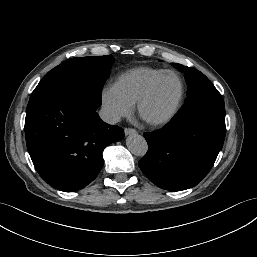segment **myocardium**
Wrapping results in <instances>:
<instances>
[{
	"label": "myocardium",
	"mask_w": 257,
	"mask_h": 257,
	"mask_svg": "<svg viewBox=\"0 0 257 257\" xmlns=\"http://www.w3.org/2000/svg\"><path fill=\"white\" fill-rule=\"evenodd\" d=\"M166 75H173L178 79V81L180 83V93H179L178 99H177L173 109L165 117H163L161 119H157V120L146 119L143 116V107H144L145 103L148 101V99L151 97L157 83ZM185 92H186V88H185L184 80L177 72H175L173 70L163 71L161 74L157 75L155 78H153L150 81V83L147 85L146 89L144 90V92L142 93L140 98L138 99L137 112H138L139 117L149 126H152V127L166 126L167 124L172 122L175 119V117L178 115V113L180 112L183 102H184Z\"/></svg>",
	"instance_id": "myocardium-1"
}]
</instances>
